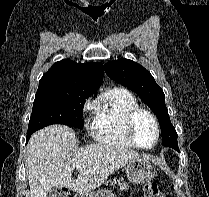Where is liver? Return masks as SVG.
Masks as SVG:
<instances>
[{"mask_svg":"<svg viewBox=\"0 0 209 197\" xmlns=\"http://www.w3.org/2000/svg\"><path fill=\"white\" fill-rule=\"evenodd\" d=\"M77 137L65 125L35 132L27 145V178L30 197H46L52 187L71 188L79 195L95 190L116 170L140 157L133 151L94 143L76 148ZM79 172L77 179L72 173Z\"/></svg>","mask_w":209,"mask_h":197,"instance_id":"obj_1","label":"liver"}]
</instances>
